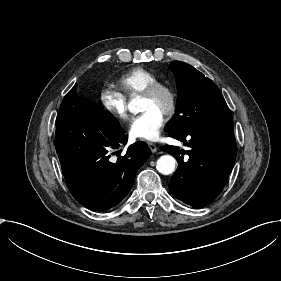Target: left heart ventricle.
Instances as JSON below:
<instances>
[{"label":"left heart ventricle","mask_w":281,"mask_h":281,"mask_svg":"<svg viewBox=\"0 0 281 281\" xmlns=\"http://www.w3.org/2000/svg\"><path fill=\"white\" fill-rule=\"evenodd\" d=\"M164 103H165V99L163 96H160L154 102L142 97L140 112H144L146 110L151 109L162 114Z\"/></svg>","instance_id":"1"}]
</instances>
